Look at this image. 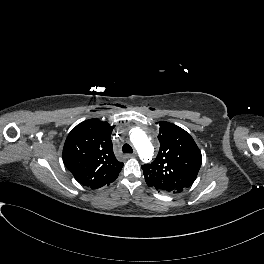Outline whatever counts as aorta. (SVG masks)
I'll list each match as a JSON object with an SVG mask.
<instances>
[{"label":"aorta","instance_id":"1","mask_svg":"<svg viewBox=\"0 0 264 264\" xmlns=\"http://www.w3.org/2000/svg\"><path fill=\"white\" fill-rule=\"evenodd\" d=\"M132 142L138 150L139 156L143 161H148L153 156V147L147 135L137 129L132 136Z\"/></svg>","mask_w":264,"mask_h":264}]
</instances>
